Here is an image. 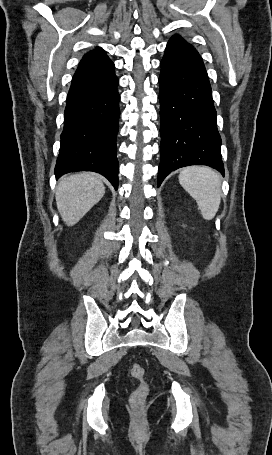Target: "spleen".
<instances>
[{
	"label": "spleen",
	"mask_w": 272,
	"mask_h": 455,
	"mask_svg": "<svg viewBox=\"0 0 272 455\" xmlns=\"http://www.w3.org/2000/svg\"><path fill=\"white\" fill-rule=\"evenodd\" d=\"M179 183L197 202L202 217L212 220L221 202L219 174L209 167L191 166L181 171Z\"/></svg>",
	"instance_id": "1"
}]
</instances>
